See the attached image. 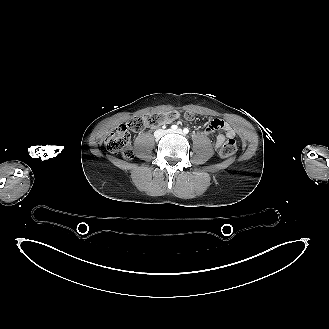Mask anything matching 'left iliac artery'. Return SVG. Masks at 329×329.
<instances>
[{
  "label": "left iliac artery",
  "mask_w": 329,
  "mask_h": 329,
  "mask_svg": "<svg viewBox=\"0 0 329 329\" xmlns=\"http://www.w3.org/2000/svg\"><path fill=\"white\" fill-rule=\"evenodd\" d=\"M183 132H184V134H188L189 133V129L188 128H184L183 129Z\"/></svg>",
  "instance_id": "obj_1"
}]
</instances>
